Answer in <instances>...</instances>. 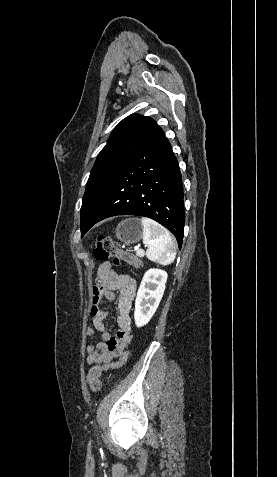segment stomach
Instances as JSON below:
<instances>
[{
	"mask_svg": "<svg viewBox=\"0 0 277 477\" xmlns=\"http://www.w3.org/2000/svg\"><path fill=\"white\" fill-rule=\"evenodd\" d=\"M115 234L120 242L134 244L142 238L143 226L138 218H129L117 225Z\"/></svg>",
	"mask_w": 277,
	"mask_h": 477,
	"instance_id": "0dacf381",
	"label": "stomach"
}]
</instances>
